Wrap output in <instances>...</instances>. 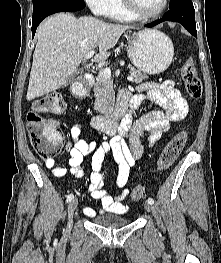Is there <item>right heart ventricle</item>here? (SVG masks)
Masks as SVG:
<instances>
[{
  "instance_id": "e07e8e85",
  "label": "right heart ventricle",
  "mask_w": 221,
  "mask_h": 263,
  "mask_svg": "<svg viewBox=\"0 0 221 263\" xmlns=\"http://www.w3.org/2000/svg\"><path fill=\"white\" fill-rule=\"evenodd\" d=\"M107 16L118 21H134L138 19L125 8L122 0H113Z\"/></svg>"
}]
</instances>
